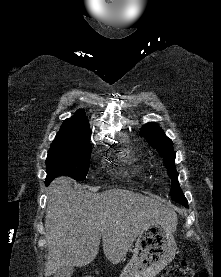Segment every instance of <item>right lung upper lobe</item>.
<instances>
[{"mask_svg":"<svg viewBox=\"0 0 221 277\" xmlns=\"http://www.w3.org/2000/svg\"><path fill=\"white\" fill-rule=\"evenodd\" d=\"M90 127L84 110H78L74 116L66 119L57 134L59 137L84 138L90 137Z\"/></svg>","mask_w":221,"mask_h":277,"instance_id":"obj_1","label":"right lung upper lobe"}]
</instances>
